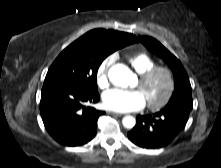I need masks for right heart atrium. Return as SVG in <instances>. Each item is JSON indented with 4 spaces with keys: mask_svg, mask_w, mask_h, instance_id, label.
<instances>
[{
    "mask_svg": "<svg viewBox=\"0 0 221 168\" xmlns=\"http://www.w3.org/2000/svg\"><path fill=\"white\" fill-rule=\"evenodd\" d=\"M114 61H115V56L109 55L99 65L96 72V82L99 88L105 89L109 86L110 81H109L108 72Z\"/></svg>",
    "mask_w": 221,
    "mask_h": 168,
    "instance_id": "obj_1",
    "label": "right heart atrium"
}]
</instances>
